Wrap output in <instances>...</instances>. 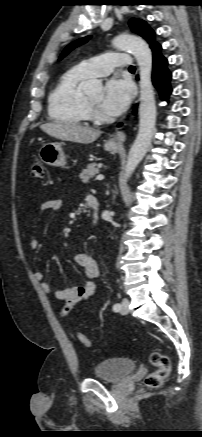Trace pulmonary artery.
<instances>
[{"label": "pulmonary artery", "mask_w": 202, "mask_h": 437, "mask_svg": "<svg viewBox=\"0 0 202 437\" xmlns=\"http://www.w3.org/2000/svg\"><path fill=\"white\" fill-rule=\"evenodd\" d=\"M132 60L127 53H106L82 61L76 67L87 77H102L109 75L116 67L129 68Z\"/></svg>", "instance_id": "1"}]
</instances>
